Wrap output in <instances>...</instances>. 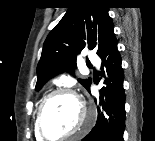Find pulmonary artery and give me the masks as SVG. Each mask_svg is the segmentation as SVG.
I'll use <instances>...</instances> for the list:
<instances>
[{
	"instance_id": "e3ab8cb5",
	"label": "pulmonary artery",
	"mask_w": 155,
	"mask_h": 141,
	"mask_svg": "<svg viewBox=\"0 0 155 141\" xmlns=\"http://www.w3.org/2000/svg\"><path fill=\"white\" fill-rule=\"evenodd\" d=\"M88 59L94 65H99V63H100L99 58L94 54L89 53L88 54Z\"/></svg>"
}]
</instances>
